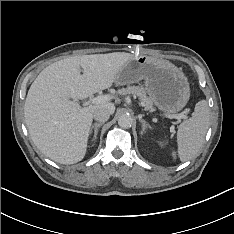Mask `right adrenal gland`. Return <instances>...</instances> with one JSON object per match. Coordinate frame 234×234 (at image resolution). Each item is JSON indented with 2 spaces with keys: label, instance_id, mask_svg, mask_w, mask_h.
<instances>
[{
  "label": "right adrenal gland",
  "instance_id": "right-adrenal-gland-1",
  "mask_svg": "<svg viewBox=\"0 0 234 234\" xmlns=\"http://www.w3.org/2000/svg\"><path fill=\"white\" fill-rule=\"evenodd\" d=\"M103 125V123H95L94 125H92V127L90 128L89 134L91 135L94 129V140L97 139V134H98V128L101 127Z\"/></svg>",
  "mask_w": 234,
  "mask_h": 234
}]
</instances>
